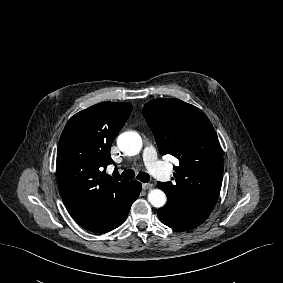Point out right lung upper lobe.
Listing matches in <instances>:
<instances>
[{"instance_id": "obj_1", "label": "right lung upper lobe", "mask_w": 283, "mask_h": 283, "mask_svg": "<svg viewBox=\"0 0 283 283\" xmlns=\"http://www.w3.org/2000/svg\"><path fill=\"white\" fill-rule=\"evenodd\" d=\"M132 110L104 102L72 116L58 144L57 172L63 201L75 221L92 230L111 220L130 197L133 181L110 177V148Z\"/></svg>"}]
</instances>
